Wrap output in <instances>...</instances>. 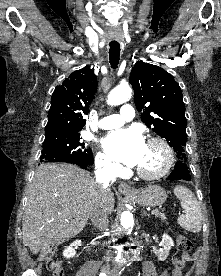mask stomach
Instances as JSON below:
<instances>
[{
	"label": "stomach",
	"instance_id": "1",
	"mask_svg": "<svg viewBox=\"0 0 221 276\" xmlns=\"http://www.w3.org/2000/svg\"><path fill=\"white\" fill-rule=\"evenodd\" d=\"M130 197L141 206L157 207L166 201L167 194L160 186L150 185Z\"/></svg>",
	"mask_w": 221,
	"mask_h": 276
}]
</instances>
